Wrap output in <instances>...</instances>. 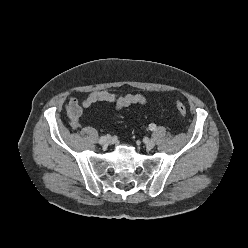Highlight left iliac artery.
Listing matches in <instances>:
<instances>
[{
	"label": "left iliac artery",
	"mask_w": 248,
	"mask_h": 248,
	"mask_svg": "<svg viewBox=\"0 0 248 248\" xmlns=\"http://www.w3.org/2000/svg\"><path fill=\"white\" fill-rule=\"evenodd\" d=\"M149 129H150L151 131L156 130V125H155L154 123H151V124L149 125Z\"/></svg>",
	"instance_id": "obj_1"
}]
</instances>
